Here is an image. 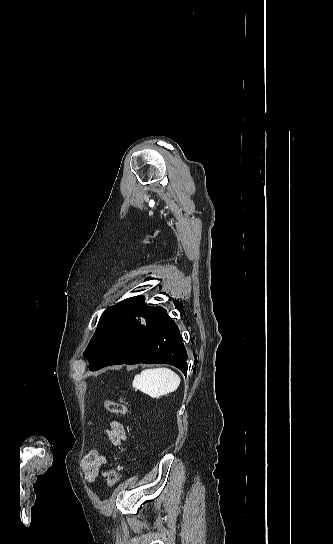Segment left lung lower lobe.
<instances>
[{"mask_svg": "<svg viewBox=\"0 0 333 544\" xmlns=\"http://www.w3.org/2000/svg\"><path fill=\"white\" fill-rule=\"evenodd\" d=\"M102 362L91 369L115 364L165 363L187 372V352L175 321L166 314L152 326L137 324L123 349L107 348L102 351Z\"/></svg>", "mask_w": 333, "mask_h": 544, "instance_id": "1", "label": "left lung lower lobe"}]
</instances>
